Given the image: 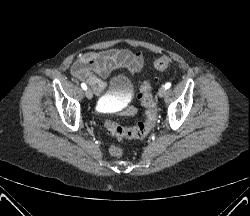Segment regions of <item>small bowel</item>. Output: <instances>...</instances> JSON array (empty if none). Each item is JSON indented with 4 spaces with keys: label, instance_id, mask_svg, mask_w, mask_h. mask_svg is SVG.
Segmentation results:
<instances>
[{
    "label": "small bowel",
    "instance_id": "small-bowel-1",
    "mask_svg": "<svg viewBox=\"0 0 250 216\" xmlns=\"http://www.w3.org/2000/svg\"><path fill=\"white\" fill-rule=\"evenodd\" d=\"M142 52H131L126 49H108L82 54L71 68L72 75L84 81L101 94L106 88V78L117 70H126L130 75L137 76L143 69Z\"/></svg>",
    "mask_w": 250,
    "mask_h": 216
}]
</instances>
